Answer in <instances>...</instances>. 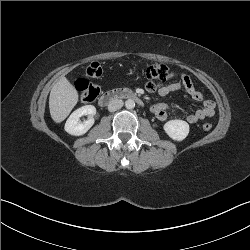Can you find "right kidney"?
Segmentation results:
<instances>
[{
	"mask_svg": "<svg viewBox=\"0 0 250 250\" xmlns=\"http://www.w3.org/2000/svg\"><path fill=\"white\" fill-rule=\"evenodd\" d=\"M96 108L93 105H86L75 110L65 123V131L74 136L85 134L94 124ZM88 115L87 121L80 123V117Z\"/></svg>",
	"mask_w": 250,
	"mask_h": 250,
	"instance_id": "right-kidney-1",
	"label": "right kidney"
}]
</instances>
